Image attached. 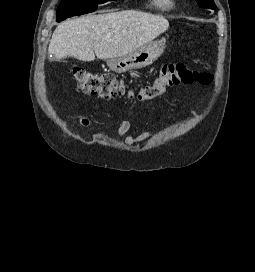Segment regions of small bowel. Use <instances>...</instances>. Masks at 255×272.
<instances>
[{"mask_svg":"<svg viewBox=\"0 0 255 272\" xmlns=\"http://www.w3.org/2000/svg\"><path fill=\"white\" fill-rule=\"evenodd\" d=\"M189 113L190 116H194L196 112L192 108ZM78 119L81 126L86 127L89 125V119L87 117L79 116ZM130 127H131L130 121L127 119H122L117 131L118 138L122 140L126 145H134L137 142L146 141L150 139L153 135V132L151 130H148L139 134L127 136L126 134L129 131Z\"/></svg>","mask_w":255,"mask_h":272,"instance_id":"obj_1","label":"small bowel"}]
</instances>
